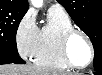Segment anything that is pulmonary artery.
<instances>
[{"label":"pulmonary artery","mask_w":102,"mask_h":75,"mask_svg":"<svg viewBox=\"0 0 102 75\" xmlns=\"http://www.w3.org/2000/svg\"><path fill=\"white\" fill-rule=\"evenodd\" d=\"M50 8H61V9H62L61 5L58 4V3H53V4L50 6Z\"/></svg>","instance_id":"obj_1"}]
</instances>
